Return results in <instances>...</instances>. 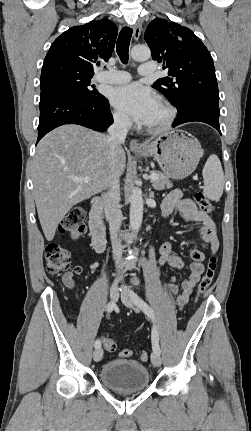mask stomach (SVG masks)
I'll list each match as a JSON object with an SVG mask.
<instances>
[{
	"label": "stomach",
	"instance_id": "1",
	"mask_svg": "<svg viewBox=\"0 0 251 431\" xmlns=\"http://www.w3.org/2000/svg\"><path fill=\"white\" fill-rule=\"evenodd\" d=\"M138 156L154 157L164 175L183 179L191 175L202 156L199 141L183 130L168 132L144 144Z\"/></svg>",
	"mask_w": 251,
	"mask_h": 431
}]
</instances>
